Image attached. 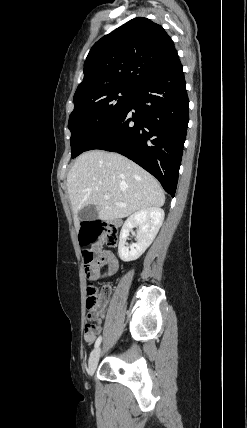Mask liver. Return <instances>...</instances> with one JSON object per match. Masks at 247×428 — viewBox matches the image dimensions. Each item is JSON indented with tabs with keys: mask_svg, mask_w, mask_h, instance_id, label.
I'll return each instance as SVG.
<instances>
[{
	"mask_svg": "<svg viewBox=\"0 0 247 428\" xmlns=\"http://www.w3.org/2000/svg\"><path fill=\"white\" fill-rule=\"evenodd\" d=\"M67 189L76 224L79 211L88 205L97 206L101 220H114L165 203L164 192L151 174L120 154L101 150L77 158L67 175Z\"/></svg>",
	"mask_w": 247,
	"mask_h": 428,
	"instance_id": "6515ba94",
	"label": "liver"
}]
</instances>
